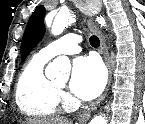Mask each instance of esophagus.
I'll return each mask as SVG.
<instances>
[{
	"mask_svg": "<svg viewBox=\"0 0 145 124\" xmlns=\"http://www.w3.org/2000/svg\"><path fill=\"white\" fill-rule=\"evenodd\" d=\"M101 10V3L99 1H95L93 4V7L90 9H86L85 13L88 15L89 20L88 24L90 29L97 35V37L100 40V53L102 54L104 61L106 63V66L108 68V83L105 89V92L101 95V97L96 100L94 103L90 104L87 106L84 110L79 112L78 114V120L82 123H85L91 116V113L97 109V107L100 105V103L105 99L108 90L110 88L111 80H112V67H111V62H110V57L108 53V49L104 40V37L101 33V31L98 29L96 26L93 16L98 14Z\"/></svg>",
	"mask_w": 145,
	"mask_h": 124,
	"instance_id": "obj_1",
	"label": "esophagus"
}]
</instances>
